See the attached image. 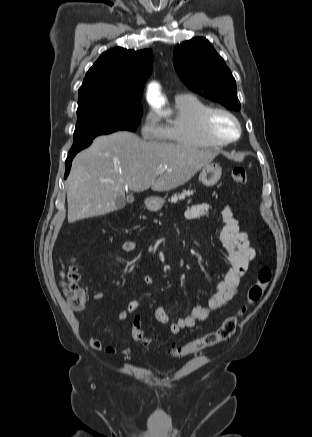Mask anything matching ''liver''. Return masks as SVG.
I'll return each instance as SVG.
<instances>
[{
	"label": "liver",
	"instance_id": "obj_1",
	"mask_svg": "<svg viewBox=\"0 0 312 437\" xmlns=\"http://www.w3.org/2000/svg\"><path fill=\"white\" fill-rule=\"evenodd\" d=\"M218 152L166 142H146L130 132L99 136L72 161L66 180L68 222L117 209L125 189L168 191L188 182Z\"/></svg>",
	"mask_w": 312,
	"mask_h": 437
}]
</instances>
